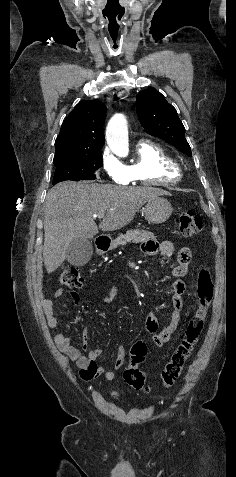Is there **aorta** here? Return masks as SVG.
Wrapping results in <instances>:
<instances>
[{"label": "aorta", "mask_w": 236, "mask_h": 477, "mask_svg": "<svg viewBox=\"0 0 236 477\" xmlns=\"http://www.w3.org/2000/svg\"><path fill=\"white\" fill-rule=\"evenodd\" d=\"M106 140L109 147L118 155L126 156L129 152L127 121L122 114L114 115L106 128Z\"/></svg>", "instance_id": "obj_1"}]
</instances>
